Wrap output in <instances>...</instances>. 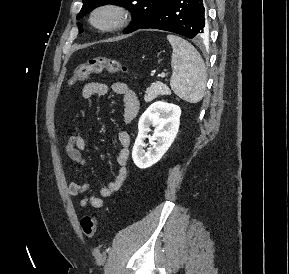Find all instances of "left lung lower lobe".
<instances>
[{
  "label": "left lung lower lobe",
  "instance_id": "1",
  "mask_svg": "<svg viewBox=\"0 0 289 274\" xmlns=\"http://www.w3.org/2000/svg\"><path fill=\"white\" fill-rule=\"evenodd\" d=\"M205 20L203 0H165L137 29H160L199 40L207 33Z\"/></svg>",
  "mask_w": 289,
  "mask_h": 274
}]
</instances>
